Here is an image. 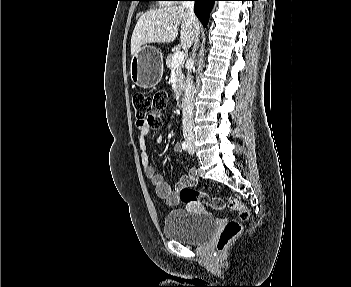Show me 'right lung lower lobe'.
<instances>
[{"mask_svg": "<svg viewBox=\"0 0 351 287\" xmlns=\"http://www.w3.org/2000/svg\"><path fill=\"white\" fill-rule=\"evenodd\" d=\"M194 12L204 27L207 26L209 14L216 0H194Z\"/></svg>", "mask_w": 351, "mask_h": 287, "instance_id": "obj_1", "label": "right lung lower lobe"}]
</instances>
